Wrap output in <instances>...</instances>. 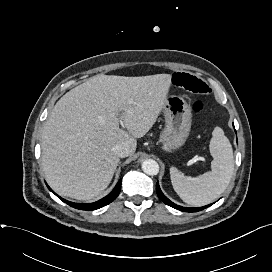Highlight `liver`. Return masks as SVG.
Returning a JSON list of instances; mask_svg holds the SVG:
<instances>
[{
  "label": "liver",
  "mask_w": 272,
  "mask_h": 272,
  "mask_svg": "<svg viewBox=\"0 0 272 272\" xmlns=\"http://www.w3.org/2000/svg\"><path fill=\"white\" fill-rule=\"evenodd\" d=\"M170 74L96 75L63 95L41 135L42 168L61 196L91 201L107 188L119 163L112 148L129 156L166 104ZM119 124L123 128L119 127Z\"/></svg>",
  "instance_id": "liver-1"
}]
</instances>
